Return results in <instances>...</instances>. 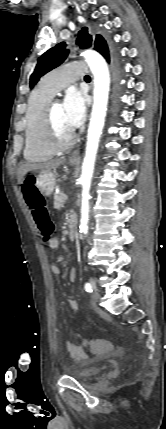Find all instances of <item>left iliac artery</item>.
<instances>
[{
	"mask_svg": "<svg viewBox=\"0 0 166 429\" xmlns=\"http://www.w3.org/2000/svg\"><path fill=\"white\" fill-rule=\"evenodd\" d=\"M84 288L86 292H92L94 287L91 283H86Z\"/></svg>",
	"mask_w": 166,
	"mask_h": 429,
	"instance_id": "left-iliac-artery-1",
	"label": "left iliac artery"
}]
</instances>
